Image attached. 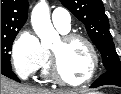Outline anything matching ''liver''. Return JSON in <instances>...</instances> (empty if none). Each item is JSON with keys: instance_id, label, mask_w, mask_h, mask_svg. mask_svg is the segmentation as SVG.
Returning a JSON list of instances; mask_svg holds the SVG:
<instances>
[{"instance_id": "liver-1", "label": "liver", "mask_w": 121, "mask_h": 94, "mask_svg": "<svg viewBox=\"0 0 121 94\" xmlns=\"http://www.w3.org/2000/svg\"><path fill=\"white\" fill-rule=\"evenodd\" d=\"M1 94H84L77 90H47L28 85L18 84L13 80L1 75Z\"/></svg>"}]
</instances>
